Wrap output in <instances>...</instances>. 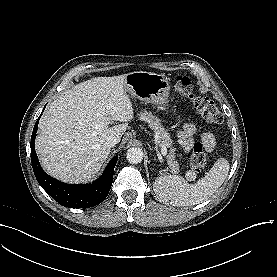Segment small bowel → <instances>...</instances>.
I'll use <instances>...</instances> for the list:
<instances>
[{
    "label": "small bowel",
    "mask_w": 277,
    "mask_h": 277,
    "mask_svg": "<svg viewBox=\"0 0 277 277\" xmlns=\"http://www.w3.org/2000/svg\"><path fill=\"white\" fill-rule=\"evenodd\" d=\"M180 146L184 151H190L194 144V138L198 139L206 152L213 151L215 147V138L209 132H201L194 123H184L177 132Z\"/></svg>",
    "instance_id": "obj_1"
}]
</instances>
